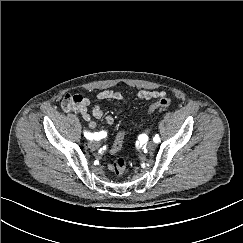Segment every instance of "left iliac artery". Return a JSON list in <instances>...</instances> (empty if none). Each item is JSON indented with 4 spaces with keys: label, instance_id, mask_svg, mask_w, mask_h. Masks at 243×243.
Here are the masks:
<instances>
[{
    "label": "left iliac artery",
    "instance_id": "1",
    "mask_svg": "<svg viewBox=\"0 0 243 243\" xmlns=\"http://www.w3.org/2000/svg\"><path fill=\"white\" fill-rule=\"evenodd\" d=\"M153 141L155 143H159L160 142V137L158 135H155V137L153 138Z\"/></svg>",
    "mask_w": 243,
    "mask_h": 243
}]
</instances>
